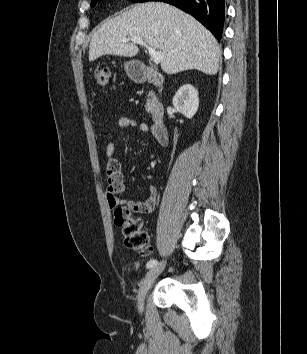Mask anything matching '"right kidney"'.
<instances>
[{
    "label": "right kidney",
    "instance_id": "ca27d5eb",
    "mask_svg": "<svg viewBox=\"0 0 307 354\" xmlns=\"http://www.w3.org/2000/svg\"><path fill=\"white\" fill-rule=\"evenodd\" d=\"M172 103L178 112L192 118L199 106L198 90L191 84H185L178 89Z\"/></svg>",
    "mask_w": 307,
    "mask_h": 354
}]
</instances>
